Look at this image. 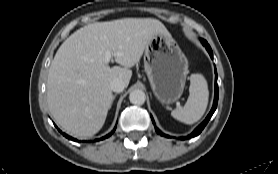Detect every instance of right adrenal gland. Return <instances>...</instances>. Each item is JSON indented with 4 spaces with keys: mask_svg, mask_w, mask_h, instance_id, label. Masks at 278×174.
<instances>
[{
    "mask_svg": "<svg viewBox=\"0 0 278 174\" xmlns=\"http://www.w3.org/2000/svg\"><path fill=\"white\" fill-rule=\"evenodd\" d=\"M116 95L113 96V99H115Z\"/></svg>",
    "mask_w": 278,
    "mask_h": 174,
    "instance_id": "obj_1",
    "label": "right adrenal gland"
}]
</instances>
